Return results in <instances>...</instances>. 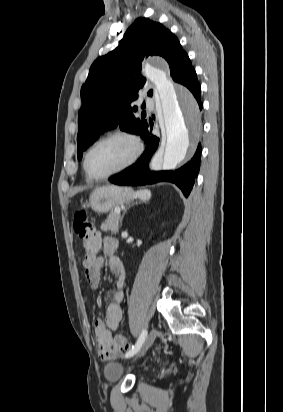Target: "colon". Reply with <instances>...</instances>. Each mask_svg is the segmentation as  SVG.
I'll list each match as a JSON object with an SVG mask.
<instances>
[{
  "mask_svg": "<svg viewBox=\"0 0 283 412\" xmlns=\"http://www.w3.org/2000/svg\"><path fill=\"white\" fill-rule=\"evenodd\" d=\"M73 228L78 238L82 241L85 255L95 256L98 252L99 241L97 232L95 231L85 208H80L74 213ZM130 346V342L125 336H115L113 340L114 351L124 352L127 351Z\"/></svg>",
  "mask_w": 283,
  "mask_h": 412,
  "instance_id": "obj_1",
  "label": "colon"
}]
</instances>
